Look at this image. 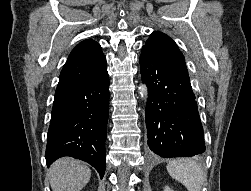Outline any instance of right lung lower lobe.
I'll return each instance as SVG.
<instances>
[{"mask_svg":"<svg viewBox=\"0 0 251 191\" xmlns=\"http://www.w3.org/2000/svg\"><path fill=\"white\" fill-rule=\"evenodd\" d=\"M108 114V73L90 84L55 95L45 153L47 165L71 156L91 164L102 178Z\"/></svg>","mask_w":251,"mask_h":191,"instance_id":"98d812e1","label":"right lung lower lobe"}]
</instances>
